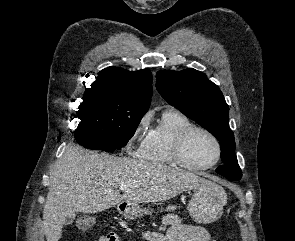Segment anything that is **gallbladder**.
<instances>
[{
  "label": "gallbladder",
  "mask_w": 295,
  "mask_h": 241,
  "mask_svg": "<svg viewBox=\"0 0 295 241\" xmlns=\"http://www.w3.org/2000/svg\"><path fill=\"white\" fill-rule=\"evenodd\" d=\"M74 220H75V215L67 217L64 221V225H70L74 222Z\"/></svg>",
  "instance_id": "gallbladder-1"
}]
</instances>
